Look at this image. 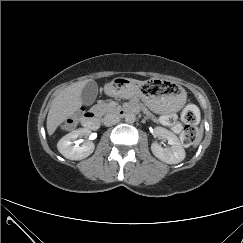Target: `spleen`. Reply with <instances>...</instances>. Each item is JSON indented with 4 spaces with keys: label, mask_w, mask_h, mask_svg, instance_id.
<instances>
[{
    "label": "spleen",
    "mask_w": 243,
    "mask_h": 243,
    "mask_svg": "<svg viewBox=\"0 0 243 243\" xmlns=\"http://www.w3.org/2000/svg\"><path fill=\"white\" fill-rule=\"evenodd\" d=\"M202 137H203V127L201 126L196 134V138L194 141V147H196L201 142Z\"/></svg>",
    "instance_id": "3e777b00"
}]
</instances>
